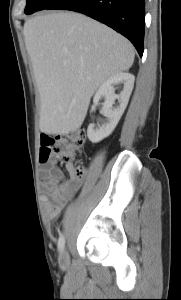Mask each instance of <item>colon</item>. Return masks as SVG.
I'll return each instance as SVG.
<instances>
[{"label": "colon", "mask_w": 181, "mask_h": 300, "mask_svg": "<svg viewBox=\"0 0 181 300\" xmlns=\"http://www.w3.org/2000/svg\"><path fill=\"white\" fill-rule=\"evenodd\" d=\"M41 142V162L46 161L49 155L54 154L61 162L66 163L67 170L72 178L81 179L84 176V166L74 163L85 142V132L83 130L63 136H43Z\"/></svg>", "instance_id": "obj_1"}]
</instances>
